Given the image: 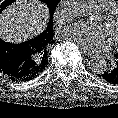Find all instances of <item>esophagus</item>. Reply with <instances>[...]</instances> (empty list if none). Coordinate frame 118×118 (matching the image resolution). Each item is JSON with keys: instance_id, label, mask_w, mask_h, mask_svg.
<instances>
[{"instance_id": "1", "label": "esophagus", "mask_w": 118, "mask_h": 118, "mask_svg": "<svg viewBox=\"0 0 118 118\" xmlns=\"http://www.w3.org/2000/svg\"><path fill=\"white\" fill-rule=\"evenodd\" d=\"M82 52H83L86 56H89V57H93V56H94V53L91 52V51H88V50L83 49Z\"/></svg>"}]
</instances>
